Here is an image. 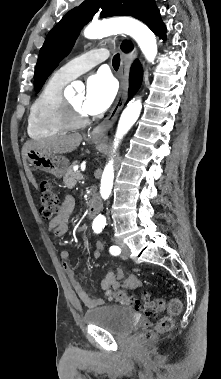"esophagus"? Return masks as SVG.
Masks as SVG:
<instances>
[{
    "label": "esophagus",
    "instance_id": "obj_1",
    "mask_svg": "<svg viewBox=\"0 0 221 379\" xmlns=\"http://www.w3.org/2000/svg\"><path fill=\"white\" fill-rule=\"evenodd\" d=\"M120 58L121 64L119 71V92L108 116L105 117V119L101 123H99L90 133V135L93 137L104 136L109 131V129L114 125L115 121L117 120V117L126 102L128 94L130 57L123 51H120Z\"/></svg>",
    "mask_w": 221,
    "mask_h": 379
}]
</instances>
